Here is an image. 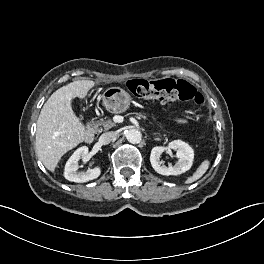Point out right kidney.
Returning a JSON list of instances; mask_svg holds the SVG:
<instances>
[{
    "label": "right kidney",
    "mask_w": 264,
    "mask_h": 264,
    "mask_svg": "<svg viewBox=\"0 0 264 264\" xmlns=\"http://www.w3.org/2000/svg\"><path fill=\"white\" fill-rule=\"evenodd\" d=\"M88 155V147L83 146L78 148L72 156L68 159L64 169V177L72 182H87L96 179L101 174V168L99 166L88 169L86 172H79L78 161Z\"/></svg>",
    "instance_id": "ca27d5eb"
}]
</instances>
